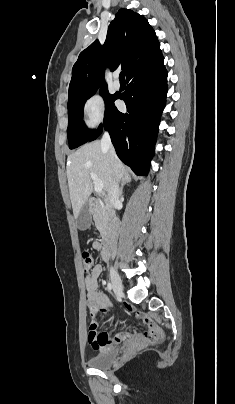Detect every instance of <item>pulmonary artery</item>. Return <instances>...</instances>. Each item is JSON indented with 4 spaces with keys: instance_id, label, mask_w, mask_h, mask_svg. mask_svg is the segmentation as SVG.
I'll list each match as a JSON object with an SVG mask.
<instances>
[{
    "instance_id": "obj_1",
    "label": "pulmonary artery",
    "mask_w": 235,
    "mask_h": 404,
    "mask_svg": "<svg viewBox=\"0 0 235 404\" xmlns=\"http://www.w3.org/2000/svg\"><path fill=\"white\" fill-rule=\"evenodd\" d=\"M113 87H114V89H116V90H119L120 87H121L120 82H119V80H118V74H117V73L114 74Z\"/></svg>"
}]
</instances>
